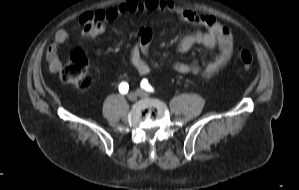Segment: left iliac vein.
I'll list each match as a JSON object with an SVG mask.
<instances>
[{"mask_svg":"<svg viewBox=\"0 0 299 190\" xmlns=\"http://www.w3.org/2000/svg\"><path fill=\"white\" fill-rule=\"evenodd\" d=\"M137 94L140 96V97H149L150 96V93H148L147 91L143 90V89H138L137 90Z\"/></svg>","mask_w":299,"mask_h":190,"instance_id":"left-iliac-vein-1","label":"left iliac vein"}]
</instances>
